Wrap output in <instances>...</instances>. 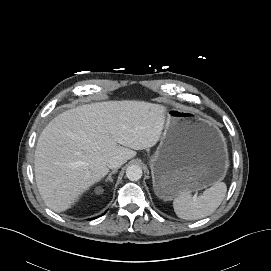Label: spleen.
<instances>
[{
  "label": "spleen",
  "instance_id": "3e777b00",
  "mask_svg": "<svg viewBox=\"0 0 271 271\" xmlns=\"http://www.w3.org/2000/svg\"><path fill=\"white\" fill-rule=\"evenodd\" d=\"M227 192L224 182L217 181L199 196L189 192L180 193L173 201V208L179 218L198 220L211 215L222 203Z\"/></svg>",
  "mask_w": 271,
  "mask_h": 271
}]
</instances>
